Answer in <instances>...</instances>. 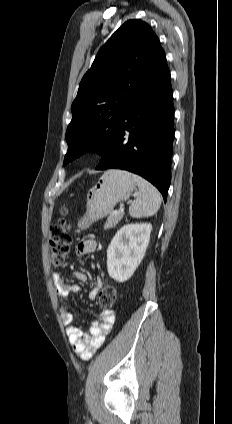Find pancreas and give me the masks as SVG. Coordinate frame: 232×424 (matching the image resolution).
<instances>
[{
  "instance_id": "cf45deb5",
  "label": "pancreas",
  "mask_w": 232,
  "mask_h": 424,
  "mask_svg": "<svg viewBox=\"0 0 232 424\" xmlns=\"http://www.w3.org/2000/svg\"><path fill=\"white\" fill-rule=\"evenodd\" d=\"M116 213H111L108 218L107 221L104 225V229H111L114 228L123 218L124 213L123 212H118L115 211Z\"/></svg>"
}]
</instances>
